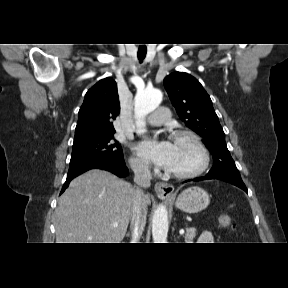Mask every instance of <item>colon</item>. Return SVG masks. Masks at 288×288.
Listing matches in <instances>:
<instances>
[{
	"label": "colon",
	"mask_w": 288,
	"mask_h": 288,
	"mask_svg": "<svg viewBox=\"0 0 288 288\" xmlns=\"http://www.w3.org/2000/svg\"><path fill=\"white\" fill-rule=\"evenodd\" d=\"M218 222L220 227L222 228H233L231 217L226 213H222L219 215Z\"/></svg>",
	"instance_id": "1"
}]
</instances>
